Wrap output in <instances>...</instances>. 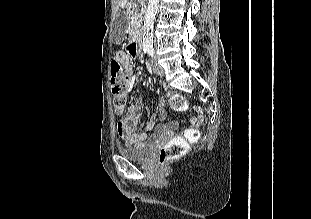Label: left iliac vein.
<instances>
[{
  "label": "left iliac vein",
  "instance_id": "obj_1",
  "mask_svg": "<svg viewBox=\"0 0 311 219\" xmlns=\"http://www.w3.org/2000/svg\"><path fill=\"white\" fill-rule=\"evenodd\" d=\"M151 66L153 68V71L160 77H164L165 76V71L162 68L161 65H159L156 60H152L151 61Z\"/></svg>",
  "mask_w": 311,
  "mask_h": 219
}]
</instances>
